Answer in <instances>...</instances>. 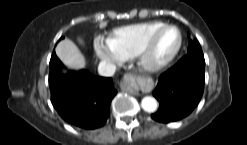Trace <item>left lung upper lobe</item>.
Masks as SVG:
<instances>
[{"mask_svg":"<svg viewBox=\"0 0 247 145\" xmlns=\"http://www.w3.org/2000/svg\"><path fill=\"white\" fill-rule=\"evenodd\" d=\"M193 51H202L197 40H194V41L190 40L189 42L188 52H193Z\"/></svg>","mask_w":247,"mask_h":145,"instance_id":"obj_1","label":"left lung upper lobe"}]
</instances>
